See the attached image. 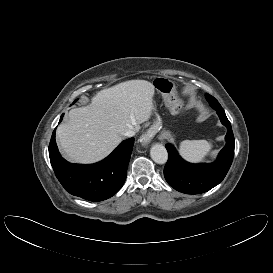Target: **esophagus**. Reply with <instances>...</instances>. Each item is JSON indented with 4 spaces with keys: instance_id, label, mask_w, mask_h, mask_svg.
<instances>
[{
    "instance_id": "esophagus-1",
    "label": "esophagus",
    "mask_w": 273,
    "mask_h": 273,
    "mask_svg": "<svg viewBox=\"0 0 273 273\" xmlns=\"http://www.w3.org/2000/svg\"><path fill=\"white\" fill-rule=\"evenodd\" d=\"M151 137L150 133L147 132V134L144 135L143 140L149 139Z\"/></svg>"
}]
</instances>
